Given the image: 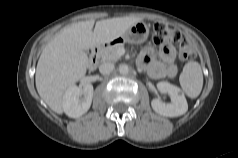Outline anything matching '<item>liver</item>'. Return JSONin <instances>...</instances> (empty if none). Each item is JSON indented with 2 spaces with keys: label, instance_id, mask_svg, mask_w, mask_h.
<instances>
[{
  "label": "liver",
  "instance_id": "1",
  "mask_svg": "<svg viewBox=\"0 0 238 158\" xmlns=\"http://www.w3.org/2000/svg\"><path fill=\"white\" fill-rule=\"evenodd\" d=\"M139 21L137 17H119L96 23L81 21L63 28L46 45L38 60L35 82L44 102L62 114L66 91L86 74L89 66L86 50L112 42Z\"/></svg>",
  "mask_w": 238,
  "mask_h": 158
}]
</instances>
